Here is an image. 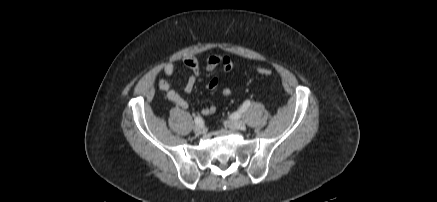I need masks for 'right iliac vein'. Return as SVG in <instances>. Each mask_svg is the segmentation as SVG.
I'll use <instances>...</instances> for the list:
<instances>
[{
  "label": "right iliac vein",
  "mask_w": 437,
  "mask_h": 202,
  "mask_svg": "<svg viewBox=\"0 0 437 202\" xmlns=\"http://www.w3.org/2000/svg\"><path fill=\"white\" fill-rule=\"evenodd\" d=\"M194 132L197 135H201V134H204L206 132V129H205L204 126H198L197 125V126L194 127Z\"/></svg>",
  "instance_id": "1"
}]
</instances>
